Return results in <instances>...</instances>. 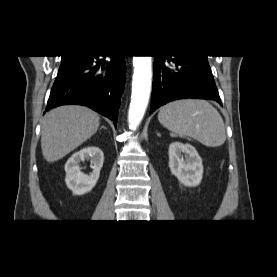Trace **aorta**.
<instances>
[{
    "instance_id": "1",
    "label": "aorta",
    "mask_w": 277,
    "mask_h": 277,
    "mask_svg": "<svg viewBox=\"0 0 277 277\" xmlns=\"http://www.w3.org/2000/svg\"><path fill=\"white\" fill-rule=\"evenodd\" d=\"M151 58V56H133L134 73L128 112V122L131 130L137 129L148 105L152 80Z\"/></svg>"
}]
</instances>
